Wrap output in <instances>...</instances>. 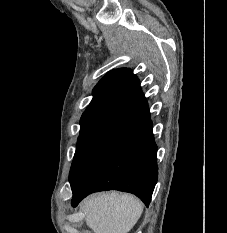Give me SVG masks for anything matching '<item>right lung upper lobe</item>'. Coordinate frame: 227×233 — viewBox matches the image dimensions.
<instances>
[{"label": "right lung upper lobe", "instance_id": "cb5924a9", "mask_svg": "<svg viewBox=\"0 0 227 233\" xmlns=\"http://www.w3.org/2000/svg\"><path fill=\"white\" fill-rule=\"evenodd\" d=\"M150 119L138 78L128 68L107 73L93 89L83 113L80 133L121 136Z\"/></svg>", "mask_w": 227, "mask_h": 233}]
</instances>
